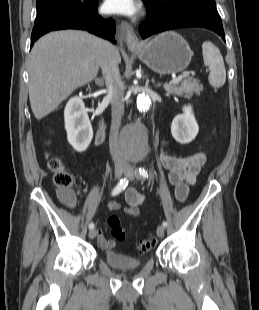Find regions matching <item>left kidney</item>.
<instances>
[{"label":"left kidney","instance_id":"5707ae66","mask_svg":"<svg viewBox=\"0 0 259 310\" xmlns=\"http://www.w3.org/2000/svg\"><path fill=\"white\" fill-rule=\"evenodd\" d=\"M183 113L177 115L171 125L173 138L180 144H188L195 139L199 126L190 105L183 107Z\"/></svg>","mask_w":259,"mask_h":310}]
</instances>
